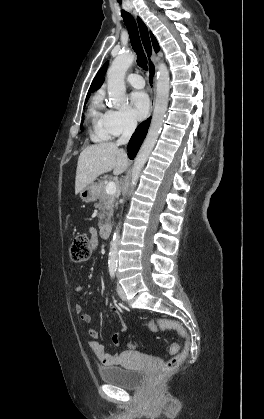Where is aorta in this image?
<instances>
[{"label":"aorta","mask_w":264,"mask_h":419,"mask_svg":"<svg viewBox=\"0 0 264 419\" xmlns=\"http://www.w3.org/2000/svg\"><path fill=\"white\" fill-rule=\"evenodd\" d=\"M134 58L135 57L132 53L121 54L113 60L107 71L108 94L110 103L115 108H119L127 101L124 78L125 73L132 65ZM168 97L169 72L166 65L164 63H160L157 71L156 100L152 121L148 134L134 160L131 174V188L136 186L140 172L157 142L167 110ZM118 240L119 230L117 229L110 244L108 264L109 267L112 268L117 266Z\"/></svg>","instance_id":"762f6f07"}]
</instances>
